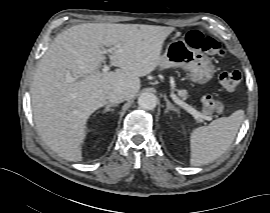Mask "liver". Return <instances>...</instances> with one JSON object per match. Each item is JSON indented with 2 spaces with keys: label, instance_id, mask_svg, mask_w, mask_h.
<instances>
[{
  "label": "liver",
  "instance_id": "liver-1",
  "mask_svg": "<svg viewBox=\"0 0 270 213\" xmlns=\"http://www.w3.org/2000/svg\"><path fill=\"white\" fill-rule=\"evenodd\" d=\"M174 29L86 23L58 34L39 61L31 87L34 121L45 144L66 160L81 161L90 115L107 104L114 90L125 92L127 99L138 93L139 77L159 65L164 41ZM104 46L113 48L111 64L120 69L99 71Z\"/></svg>",
  "mask_w": 270,
  "mask_h": 213
}]
</instances>
